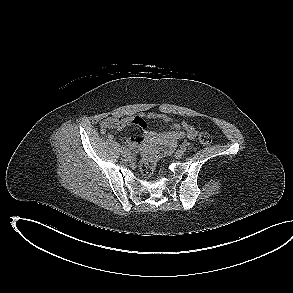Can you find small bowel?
<instances>
[{"mask_svg": "<svg viewBox=\"0 0 293 293\" xmlns=\"http://www.w3.org/2000/svg\"><path fill=\"white\" fill-rule=\"evenodd\" d=\"M148 119H158L165 124H171V129L167 131H154L148 128ZM130 125H136L142 130V136H130L124 143L130 148L152 149L156 145L167 142L177 144L182 139H194L198 132L186 121L181 123L173 122L172 118L166 114L148 113L139 114L134 117H110L100 123V130L105 133L108 129H121Z\"/></svg>", "mask_w": 293, "mask_h": 293, "instance_id": "c3829d8e", "label": "small bowel"}]
</instances>
